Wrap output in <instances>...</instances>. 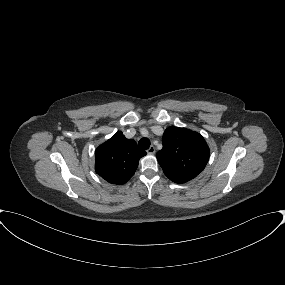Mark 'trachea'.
<instances>
[{
	"mask_svg": "<svg viewBox=\"0 0 285 285\" xmlns=\"http://www.w3.org/2000/svg\"><path fill=\"white\" fill-rule=\"evenodd\" d=\"M138 145L141 149H149L150 141L147 138H142L139 140Z\"/></svg>",
	"mask_w": 285,
	"mask_h": 285,
	"instance_id": "obj_1",
	"label": "trachea"
}]
</instances>
